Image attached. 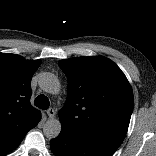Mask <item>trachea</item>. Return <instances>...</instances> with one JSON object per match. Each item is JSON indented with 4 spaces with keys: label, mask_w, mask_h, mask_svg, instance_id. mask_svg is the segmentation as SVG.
<instances>
[{
    "label": "trachea",
    "mask_w": 156,
    "mask_h": 156,
    "mask_svg": "<svg viewBox=\"0 0 156 156\" xmlns=\"http://www.w3.org/2000/svg\"><path fill=\"white\" fill-rule=\"evenodd\" d=\"M34 104L40 109L46 110L48 109L50 102H49V99L45 95H39L35 99Z\"/></svg>",
    "instance_id": "trachea-1"
}]
</instances>
